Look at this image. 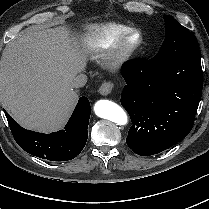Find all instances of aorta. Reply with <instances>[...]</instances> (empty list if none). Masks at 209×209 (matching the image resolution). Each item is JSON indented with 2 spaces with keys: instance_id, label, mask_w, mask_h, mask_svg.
<instances>
[{
  "instance_id": "aorta-1",
  "label": "aorta",
  "mask_w": 209,
  "mask_h": 209,
  "mask_svg": "<svg viewBox=\"0 0 209 209\" xmlns=\"http://www.w3.org/2000/svg\"><path fill=\"white\" fill-rule=\"evenodd\" d=\"M95 114L118 125H125L128 121L125 111L116 103L109 100H99L94 105Z\"/></svg>"
}]
</instances>
